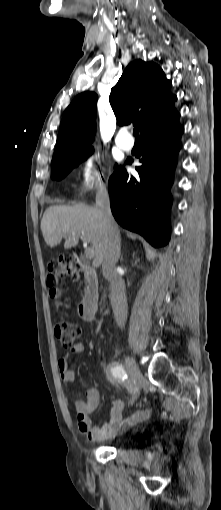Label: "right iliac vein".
<instances>
[{
  "label": "right iliac vein",
  "mask_w": 221,
  "mask_h": 510,
  "mask_svg": "<svg viewBox=\"0 0 221 510\" xmlns=\"http://www.w3.org/2000/svg\"><path fill=\"white\" fill-rule=\"evenodd\" d=\"M124 362L133 382L132 398L130 400V405H133L140 395V391L144 384V378L138 365L132 357L126 356Z\"/></svg>",
  "instance_id": "obj_1"
}]
</instances>
